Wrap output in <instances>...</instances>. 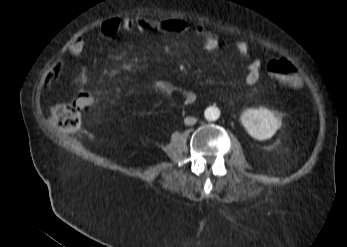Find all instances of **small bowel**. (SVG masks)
I'll return each instance as SVG.
<instances>
[{"instance_id": "1", "label": "small bowel", "mask_w": 347, "mask_h": 247, "mask_svg": "<svg viewBox=\"0 0 347 247\" xmlns=\"http://www.w3.org/2000/svg\"><path fill=\"white\" fill-rule=\"evenodd\" d=\"M101 32L106 37H115L122 31L133 30H166V31H187L192 30L201 40L204 50L210 53H217L223 47L224 44L216 33L209 30L203 25L195 27H189L181 21H165L159 23H153L152 20H147L138 17H129L124 19L111 18L106 20L100 28ZM232 48L236 51L238 56L243 59H247L249 56V44L244 40H239L232 45ZM85 49V41L82 38L73 40L68 46V51L73 55H80ZM261 67L260 60L252 58L247 63V73L244 81L247 85L253 86L259 80V71ZM64 64L57 63L54 65L46 76V85L51 86L58 82L64 72ZM88 83V78L85 73H80L77 77L76 84L78 92L86 90L85 86ZM153 87L165 94L173 95L179 94L182 97L184 104L191 105L196 101V93L190 89L180 87L170 81L164 79H155L153 81ZM77 92V93H78Z\"/></svg>"}]
</instances>
